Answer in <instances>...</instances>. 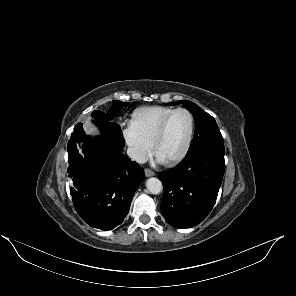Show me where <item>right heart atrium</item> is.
I'll return each instance as SVG.
<instances>
[{"label": "right heart atrium", "instance_id": "right-heart-atrium-1", "mask_svg": "<svg viewBox=\"0 0 296 296\" xmlns=\"http://www.w3.org/2000/svg\"><path fill=\"white\" fill-rule=\"evenodd\" d=\"M123 136L132 158L137 162L144 161L150 152V145L139 138L131 128H125Z\"/></svg>", "mask_w": 296, "mask_h": 296}]
</instances>
